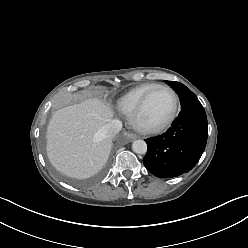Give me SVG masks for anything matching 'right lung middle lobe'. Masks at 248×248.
Listing matches in <instances>:
<instances>
[{"label":"right lung middle lobe","mask_w":248,"mask_h":248,"mask_svg":"<svg viewBox=\"0 0 248 248\" xmlns=\"http://www.w3.org/2000/svg\"><path fill=\"white\" fill-rule=\"evenodd\" d=\"M107 169H108V164H106L102 168V170L100 172H98L96 175H94L93 177L86 179V180L72 179V178H69V177L59 173L58 171H55V172L60 178H62L63 180H65L71 184L80 185V186H88V185L94 184L97 181H99L105 175V173L107 172Z\"/></svg>","instance_id":"dd1d6c3e"}]
</instances>
